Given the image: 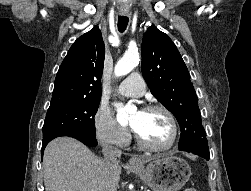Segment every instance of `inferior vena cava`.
I'll return each instance as SVG.
<instances>
[{
  "mask_svg": "<svg viewBox=\"0 0 251 191\" xmlns=\"http://www.w3.org/2000/svg\"><path fill=\"white\" fill-rule=\"evenodd\" d=\"M103 157L107 163L110 165H118L121 157V149H117L114 145H109V143H104L102 149Z\"/></svg>",
  "mask_w": 251,
  "mask_h": 191,
  "instance_id": "602c4592",
  "label": "inferior vena cava"
}]
</instances>
